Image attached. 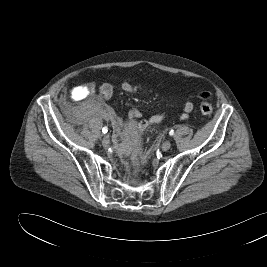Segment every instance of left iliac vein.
Segmentation results:
<instances>
[{
    "instance_id": "left-iliac-vein-1",
    "label": "left iliac vein",
    "mask_w": 267,
    "mask_h": 267,
    "mask_svg": "<svg viewBox=\"0 0 267 267\" xmlns=\"http://www.w3.org/2000/svg\"><path fill=\"white\" fill-rule=\"evenodd\" d=\"M171 147V142L170 141H164L162 144V150L163 151H168Z\"/></svg>"
}]
</instances>
